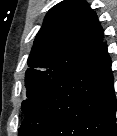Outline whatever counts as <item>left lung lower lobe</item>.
Here are the masks:
<instances>
[{"label":"left lung lower lobe","mask_w":117,"mask_h":136,"mask_svg":"<svg viewBox=\"0 0 117 136\" xmlns=\"http://www.w3.org/2000/svg\"><path fill=\"white\" fill-rule=\"evenodd\" d=\"M116 97L106 44L51 85L19 136H116Z\"/></svg>","instance_id":"1"}]
</instances>
